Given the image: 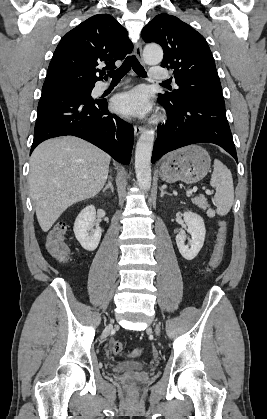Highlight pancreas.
<instances>
[{"instance_id":"pancreas-1","label":"pancreas","mask_w":267,"mask_h":419,"mask_svg":"<svg viewBox=\"0 0 267 419\" xmlns=\"http://www.w3.org/2000/svg\"><path fill=\"white\" fill-rule=\"evenodd\" d=\"M192 202L203 210H206L209 207L206 198L202 195L193 198Z\"/></svg>"}]
</instances>
